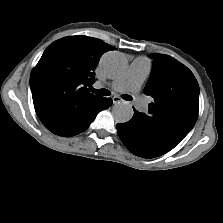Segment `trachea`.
<instances>
[{"mask_svg": "<svg viewBox=\"0 0 223 223\" xmlns=\"http://www.w3.org/2000/svg\"><path fill=\"white\" fill-rule=\"evenodd\" d=\"M90 91L93 93H96L98 95H102V96H109L111 93L109 90L107 89H94V88H90ZM122 98L124 100L130 101L132 99V97L130 95H122Z\"/></svg>", "mask_w": 223, "mask_h": 223, "instance_id": "1", "label": "trachea"}]
</instances>
